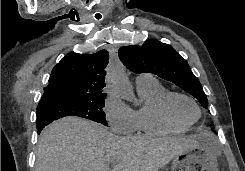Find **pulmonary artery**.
Here are the masks:
<instances>
[{
    "instance_id": "1",
    "label": "pulmonary artery",
    "mask_w": 245,
    "mask_h": 171,
    "mask_svg": "<svg viewBox=\"0 0 245 171\" xmlns=\"http://www.w3.org/2000/svg\"><path fill=\"white\" fill-rule=\"evenodd\" d=\"M152 78H153V77H152L151 75H148V74H142V75H139V76L136 78V83H141V82L150 80V79H152Z\"/></svg>"
}]
</instances>
